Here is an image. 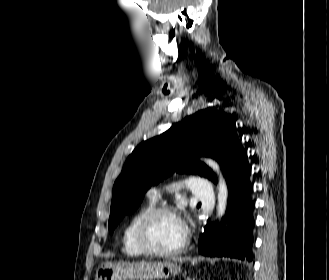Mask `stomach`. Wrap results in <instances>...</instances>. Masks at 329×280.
<instances>
[{
    "label": "stomach",
    "instance_id": "stomach-1",
    "mask_svg": "<svg viewBox=\"0 0 329 280\" xmlns=\"http://www.w3.org/2000/svg\"><path fill=\"white\" fill-rule=\"evenodd\" d=\"M181 271V262L177 259L165 262H106L98 267L95 280L167 279Z\"/></svg>",
    "mask_w": 329,
    "mask_h": 280
}]
</instances>
